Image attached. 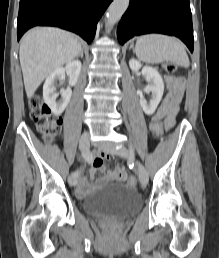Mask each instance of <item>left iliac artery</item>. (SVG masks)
Returning a JSON list of instances; mask_svg holds the SVG:
<instances>
[{
  "label": "left iliac artery",
  "instance_id": "44dca946",
  "mask_svg": "<svg viewBox=\"0 0 219 258\" xmlns=\"http://www.w3.org/2000/svg\"><path fill=\"white\" fill-rule=\"evenodd\" d=\"M131 151H133V148L130 146Z\"/></svg>",
  "mask_w": 219,
  "mask_h": 258
}]
</instances>
